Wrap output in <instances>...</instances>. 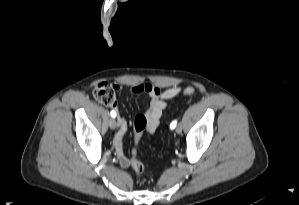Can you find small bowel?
<instances>
[{"instance_id":"small-bowel-1","label":"small bowel","mask_w":299,"mask_h":205,"mask_svg":"<svg viewBox=\"0 0 299 205\" xmlns=\"http://www.w3.org/2000/svg\"><path fill=\"white\" fill-rule=\"evenodd\" d=\"M117 89L119 85L115 86ZM133 93H146L149 97V105L144 116L147 119L146 130L149 133H154L159 126L160 118L163 111L166 109L168 102L178 95L182 88L180 86H172L165 90L152 84H137L131 88ZM128 125L124 118L119 119L118 130L114 137V147L118 162L121 167L128 168L131 165L129 159L123 150V138L127 132Z\"/></svg>"}]
</instances>
